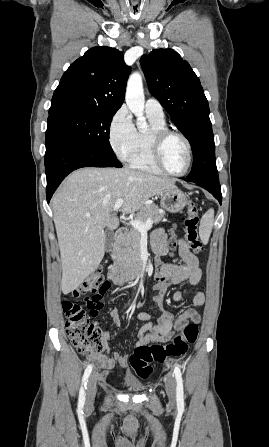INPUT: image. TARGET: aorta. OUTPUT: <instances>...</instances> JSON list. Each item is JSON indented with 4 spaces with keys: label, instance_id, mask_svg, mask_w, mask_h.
Wrapping results in <instances>:
<instances>
[{
    "label": "aorta",
    "instance_id": "aorta-1",
    "mask_svg": "<svg viewBox=\"0 0 269 447\" xmlns=\"http://www.w3.org/2000/svg\"><path fill=\"white\" fill-rule=\"evenodd\" d=\"M125 100L130 112L137 118V128L147 130L148 124L146 118H144L145 96L142 76L139 72H134L129 76Z\"/></svg>",
    "mask_w": 269,
    "mask_h": 447
}]
</instances>
